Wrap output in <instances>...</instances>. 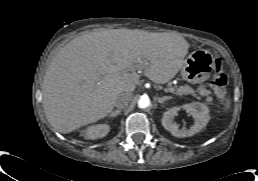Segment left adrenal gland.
<instances>
[{"label": "left adrenal gland", "instance_id": "a2214340", "mask_svg": "<svg viewBox=\"0 0 258 181\" xmlns=\"http://www.w3.org/2000/svg\"><path fill=\"white\" fill-rule=\"evenodd\" d=\"M172 97L171 96H164V97H157L156 100L159 102V103H164L166 100H169L171 99Z\"/></svg>", "mask_w": 258, "mask_h": 181}]
</instances>
